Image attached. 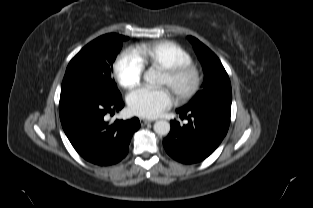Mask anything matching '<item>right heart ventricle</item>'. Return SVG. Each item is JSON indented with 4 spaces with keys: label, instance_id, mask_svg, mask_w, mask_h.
I'll use <instances>...</instances> for the list:
<instances>
[{
    "label": "right heart ventricle",
    "instance_id": "e07e8e85",
    "mask_svg": "<svg viewBox=\"0 0 313 208\" xmlns=\"http://www.w3.org/2000/svg\"><path fill=\"white\" fill-rule=\"evenodd\" d=\"M135 52L144 65L169 69L192 61L191 55L172 41H156L136 47Z\"/></svg>",
    "mask_w": 313,
    "mask_h": 208
}]
</instances>
